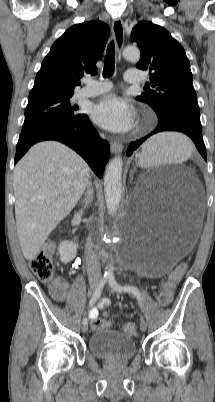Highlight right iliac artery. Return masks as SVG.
I'll return each instance as SVG.
<instances>
[{"label":"right iliac artery","mask_w":215,"mask_h":402,"mask_svg":"<svg viewBox=\"0 0 215 402\" xmlns=\"http://www.w3.org/2000/svg\"><path fill=\"white\" fill-rule=\"evenodd\" d=\"M106 282H107V278L101 279V281L99 282L98 286L95 289V292H94L92 298L89 301L90 306H93L96 303V301L100 298L102 290H103ZM82 322H83V324H87V322H88L87 318H84Z\"/></svg>","instance_id":"right-iliac-artery-1"}]
</instances>
